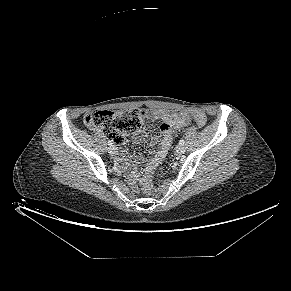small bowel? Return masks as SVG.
<instances>
[{"label": "small bowel", "mask_w": 291, "mask_h": 291, "mask_svg": "<svg viewBox=\"0 0 291 291\" xmlns=\"http://www.w3.org/2000/svg\"><path fill=\"white\" fill-rule=\"evenodd\" d=\"M151 119H156L161 122L160 131L162 133V138L160 140V149L155 154L152 161L148 164L146 168H152L153 170L161 163L164 159L167 150L169 149L172 142V132L175 129L181 128L186 125L187 121L184 116L178 112H171L167 110H152L149 113ZM135 140L138 143H144L147 140L146 133L143 130H139L135 134ZM151 145L155 146L159 143L158 137H152L150 140ZM138 173H133V178L136 179Z\"/></svg>", "instance_id": "c3829d8e"}]
</instances>
